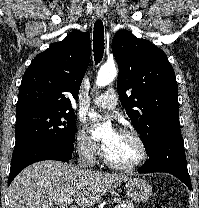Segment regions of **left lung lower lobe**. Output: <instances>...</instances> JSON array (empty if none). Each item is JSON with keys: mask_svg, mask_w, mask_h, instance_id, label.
Wrapping results in <instances>:
<instances>
[{"mask_svg": "<svg viewBox=\"0 0 199 208\" xmlns=\"http://www.w3.org/2000/svg\"><path fill=\"white\" fill-rule=\"evenodd\" d=\"M147 153L149 160L139 169V173H170L191 190V180L180 129L170 130L160 135Z\"/></svg>", "mask_w": 199, "mask_h": 208, "instance_id": "obj_1", "label": "left lung lower lobe"}]
</instances>
